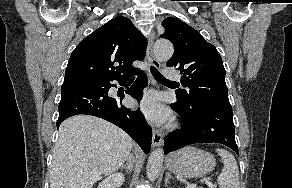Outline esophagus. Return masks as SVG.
<instances>
[{"label":"esophagus","instance_id":"34e87169","mask_svg":"<svg viewBox=\"0 0 292 188\" xmlns=\"http://www.w3.org/2000/svg\"><path fill=\"white\" fill-rule=\"evenodd\" d=\"M154 37H155V34L152 32L149 35V38H148L147 59H148V62H149V64L151 66L159 68L160 67V63L155 58L154 52H153ZM162 142H163L162 133L159 130L153 129V132H152V147L153 148L158 147V146H160L162 144Z\"/></svg>","mask_w":292,"mask_h":188}]
</instances>
